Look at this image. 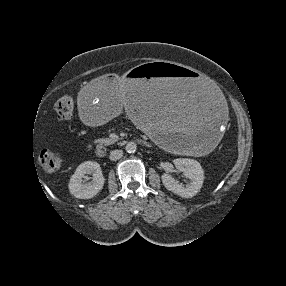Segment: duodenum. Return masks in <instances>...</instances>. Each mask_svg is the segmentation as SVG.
Returning <instances> with one entry per match:
<instances>
[{
	"label": "duodenum",
	"instance_id": "duodenum-1",
	"mask_svg": "<svg viewBox=\"0 0 286 286\" xmlns=\"http://www.w3.org/2000/svg\"><path fill=\"white\" fill-rule=\"evenodd\" d=\"M96 154L98 157H103L105 155V149L103 147L97 148Z\"/></svg>",
	"mask_w": 286,
	"mask_h": 286
}]
</instances>
